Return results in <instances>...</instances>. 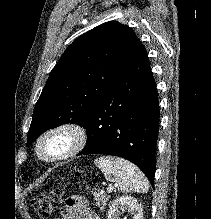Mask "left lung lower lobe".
Returning a JSON list of instances; mask_svg holds the SVG:
<instances>
[{
	"label": "left lung lower lobe",
	"mask_w": 211,
	"mask_h": 219,
	"mask_svg": "<svg viewBox=\"0 0 211 219\" xmlns=\"http://www.w3.org/2000/svg\"><path fill=\"white\" fill-rule=\"evenodd\" d=\"M156 83L145 48L96 104L86 123L79 155L106 154L136 164L154 187L159 130Z\"/></svg>",
	"instance_id": "obj_1"
}]
</instances>
